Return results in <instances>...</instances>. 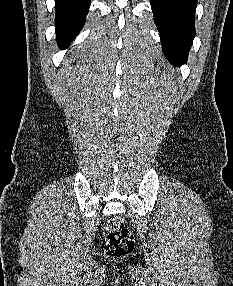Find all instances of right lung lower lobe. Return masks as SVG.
Instances as JSON below:
<instances>
[{
  "instance_id": "obj_1",
  "label": "right lung lower lobe",
  "mask_w": 233,
  "mask_h": 286,
  "mask_svg": "<svg viewBox=\"0 0 233 286\" xmlns=\"http://www.w3.org/2000/svg\"><path fill=\"white\" fill-rule=\"evenodd\" d=\"M91 0H55L56 2V34L60 48L69 43L82 29Z\"/></svg>"
}]
</instances>
